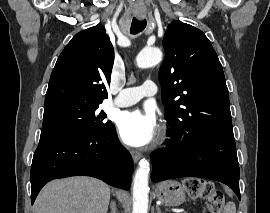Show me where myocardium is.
Segmentation results:
<instances>
[{
	"instance_id": "obj_1",
	"label": "myocardium",
	"mask_w": 270,
	"mask_h": 213,
	"mask_svg": "<svg viewBox=\"0 0 270 213\" xmlns=\"http://www.w3.org/2000/svg\"><path fill=\"white\" fill-rule=\"evenodd\" d=\"M164 139H165V133H164L163 136L161 137L160 142H163Z\"/></svg>"
}]
</instances>
